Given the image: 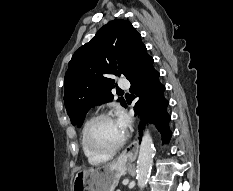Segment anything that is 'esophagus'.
<instances>
[{"label":"esophagus","mask_w":233,"mask_h":191,"mask_svg":"<svg viewBox=\"0 0 233 191\" xmlns=\"http://www.w3.org/2000/svg\"><path fill=\"white\" fill-rule=\"evenodd\" d=\"M138 151V143L134 141L131 143L128 148H126L121 155L119 156V161L126 162L127 160H133L136 158Z\"/></svg>","instance_id":"1"}]
</instances>
